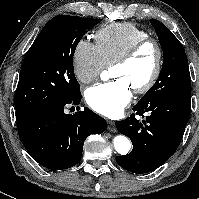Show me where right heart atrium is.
Returning a JSON list of instances; mask_svg holds the SVG:
<instances>
[{
	"instance_id": "d8ad5b80",
	"label": "right heart atrium",
	"mask_w": 199,
	"mask_h": 199,
	"mask_svg": "<svg viewBox=\"0 0 199 199\" xmlns=\"http://www.w3.org/2000/svg\"><path fill=\"white\" fill-rule=\"evenodd\" d=\"M73 71L81 83H90L106 68L97 44L81 39L72 57Z\"/></svg>"
}]
</instances>
